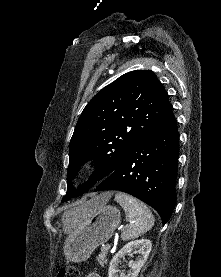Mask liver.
Wrapping results in <instances>:
<instances>
[{
	"instance_id": "obj_1",
	"label": "liver",
	"mask_w": 221,
	"mask_h": 277,
	"mask_svg": "<svg viewBox=\"0 0 221 277\" xmlns=\"http://www.w3.org/2000/svg\"><path fill=\"white\" fill-rule=\"evenodd\" d=\"M111 196H112V193H110V192L103 193V194L95 197L96 203L97 204L107 203L109 201V199L111 198ZM76 212H77V208L73 209V210H68L62 215V222H63V227H64L65 232L68 231L67 225H68L70 218L72 216H74L76 214Z\"/></svg>"
}]
</instances>
